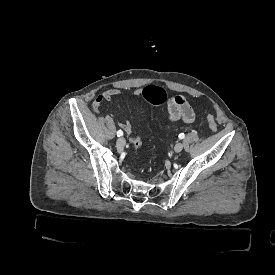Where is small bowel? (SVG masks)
Listing matches in <instances>:
<instances>
[{"label": "small bowel", "instance_id": "c3829d8e", "mask_svg": "<svg viewBox=\"0 0 275 275\" xmlns=\"http://www.w3.org/2000/svg\"><path fill=\"white\" fill-rule=\"evenodd\" d=\"M121 91L117 88H110L99 94L92 102V110L98 114L102 105L118 97ZM134 97L139 98L142 94L140 89L132 91ZM169 119L173 122L182 121L183 123H192L195 119V113L191 105V100L183 95L171 97L167 102ZM120 127L129 135H133V127L129 121H121Z\"/></svg>", "mask_w": 275, "mask_h": 275}]
</instances>
